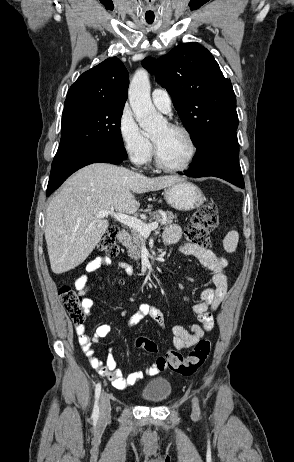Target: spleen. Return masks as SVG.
<instances>
[{"mask_svg": "<svg viewBox=\"0 0 294 462\" xmlns=\"http://www.w3.org/2000/svg\"><path fill=\"white\" fill-rule=\"evenodd\" d=\"M239 240V234L238 232L231 230L228 232V234L225 236L223 240V247L227 252H234L237 248Z\"/></svg>", "mask_w": 294, "mask_h": 462, "instance_id": "spleen-1", "label": "spleen"}]
</instances>
